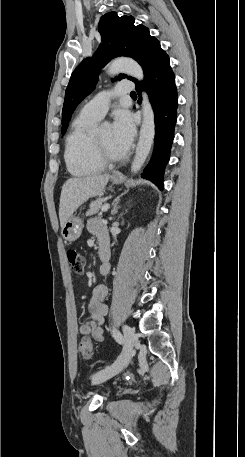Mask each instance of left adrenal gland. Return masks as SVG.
<instances>
[{"label": "left adrenal gland", "mask_w": 245, "mask_h": 457, "mask_svg": "<svg viewBox=\"0 0 245 457\" xmlns=\"http://www.w3.org/2000/svg\"><path fill=\"white\" fill-rule=\"evenodd\" d=\"M119 200H120V198H115V200H113V202H112L113 208L111 210V214H116V212H118V208H120V206H118Z\"/></svg>", "instance_id": "1"}]
</instances>
